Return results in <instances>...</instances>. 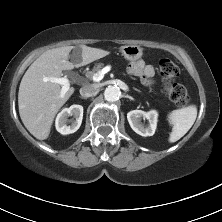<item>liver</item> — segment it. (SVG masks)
I'll return each instance as SVG.
<instances>
[{
  "mask_svg": "<svg viewBox=\"0 0 222 222\" xmlns=\"http://www.w3.org/2000/svg\"><path fill=\"white\" fill-rule=\"evenodd\" d=\"M74 48L64 46L47 50L30 65L21 80L18 92L20 118L27 130L39 140L48 138L57 112L75 91L70 87L62 96L61 86L46 81V78H59L63 70L87 65L110 53L81 45L76 62L72 63L68 61V57Z\"/></svg>",
  "mask_w": 222,
  "mask_h": 222,
  "instance_id": "6515ba94",
  "label": "liver"
}]
</instances>
